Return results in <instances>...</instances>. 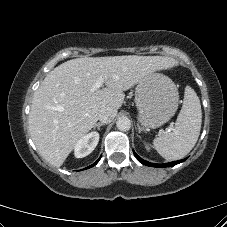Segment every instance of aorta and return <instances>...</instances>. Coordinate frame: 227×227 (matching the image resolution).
Returning a JSON list of instances; mask_svg holds the SVG:
<instances>
[{
  "instance_id": "obj_1",
  "label": "aorta",
  "mask_w": 227,
  "mask_h": 227,
  "mask_svg": "<svg viewBox=\"0 0 227 227\" xmlns=\"http://www.w3.org/2000/svg\"><path fill=\"white\" fill-rule=\"evenodd\" d=\"M116 126L120 131H128L131 128V121L128 117H120L117 122Z\"/></svg>"
}]
</instances>
